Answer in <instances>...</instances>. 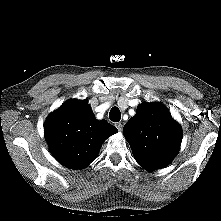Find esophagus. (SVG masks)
<instances>
[{
    "label": "esophagus",
    "mask_w": 221,
    "mask_h": 221,
    "mask_svg": "<svg viewBox=\"0 0 221 221\" xmlns=\"http://www.w3.org/2000/svg\"><path fill=\"white\" fill-rule=\"evenodd\" d=\"M117 129L121 132L123 130V125L122 123H117L116 124Z\"/></svg>",
    "instance_id": "34e87169"
}]
</instances>
